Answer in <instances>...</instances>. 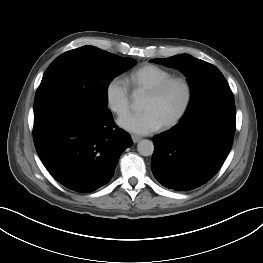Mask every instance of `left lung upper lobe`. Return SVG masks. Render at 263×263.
<instances>
[{"instance_id":"5c2ea615","label":"left lung upper lobe","mask_w":263,"mask_h":263,"mask_svg":"<svg viewBox=\"0 0 263 263\" xmlns=\"http://www.w3.org/2000/svg\"><path fill=\"white\" fill-rule=\"evenodd\" d=\"M151 61L176 67L188 77L191 99L184 117L194 115L215 103H234L233 93L225 77L214 65L187 54Z\"/></svg>"}]
</instances>
